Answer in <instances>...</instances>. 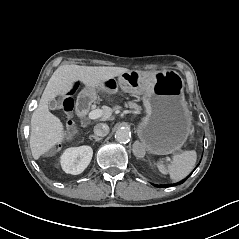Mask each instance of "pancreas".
Listing matches in <instances>:
<instances>
[{
	"mask_svg": "<svg viewBox=\"0 0 239 239\" xmlns=\"http://www.w3.org/2000/svg\"><path fill=\"white\" fill-rule=\"evenodd\" d=\"M129 107L132 108V109H135V110L139 109L138 105L135 104V103H132V102L129 103Z\"/></svg>",
	"mask_w": 239,
	"mask_h": 239,
	"instance_id": "obj_1",
	"label": "pancreas"
}]
</instances>
